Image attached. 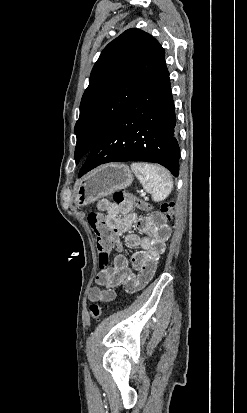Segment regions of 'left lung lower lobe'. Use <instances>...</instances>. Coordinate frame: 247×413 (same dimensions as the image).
<instances>
[{
    "instance_id": "left-lung-lower-lobe-1",
    "label": "left lung lower lobe",
    "mask_w": 247,
    "mask_h": 413,
    "mask_svg": "<svg viewBox=\"0 0 247 413\" xmlns=\"http://www.w3.org/2000/svg\"><path fill=\"white\" fill-rule=\"evenodd\" d=\"M176 117L165 63L87 154L79 177L115 161L159 163L178 176Z\"/></svg>"
}]
</instances>
